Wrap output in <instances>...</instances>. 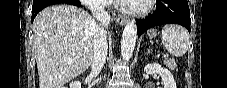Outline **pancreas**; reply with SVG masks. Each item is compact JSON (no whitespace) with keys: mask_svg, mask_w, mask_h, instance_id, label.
Listing matches in <instances>:
<instances>
[{"mask_svg":"<svg viewBox=\"0 0 227 88\" xmlns=\"http://www.w3.org/2000/svg\"><path fill=\"white\" fill-rule=\"evenodd\" d=\"M165 65L170 68L171 70L177 69V64L174 59H166L164 61Z\"/></svg>","mask_w":227,"mask_h":88,"instance_id":"pancreas-1","label":"pancreas"}]
</instances>
